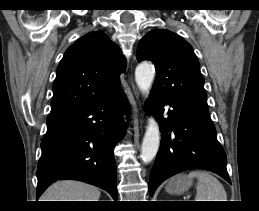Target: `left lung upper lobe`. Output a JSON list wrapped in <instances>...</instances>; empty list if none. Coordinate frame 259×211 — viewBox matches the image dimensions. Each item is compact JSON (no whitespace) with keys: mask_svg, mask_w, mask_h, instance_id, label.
Masks as SVG:
<instances>
[{"mask_svg":"<svg viewBox=\"0 0 259 211\" xmlns=\"http://www.w3.org/2000/svg\"><path fill=\"white\" fill-rule=\"evenodd\" d=\"M137 60H151L156 68L153 91L208 108L200 64L191 45L168 30L154 29L139 42Z\"/></svg>","mask_w":259,"mask_h":211,"instance_id":"obj_1","label":"left lung upper lobe"}]
</instances>
